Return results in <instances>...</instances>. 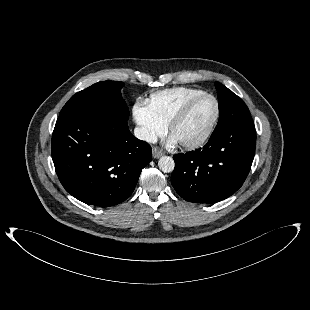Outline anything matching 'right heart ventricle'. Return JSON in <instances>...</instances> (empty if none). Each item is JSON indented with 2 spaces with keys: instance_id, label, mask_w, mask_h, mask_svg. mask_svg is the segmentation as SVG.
Returning <instances> with one entry per match:
<instances>
[{
  "instance_id": "1",
  "label": "right heart ventricle",
  "mask_w": 310,
  "mask_h": 310,
  "mask_svg": "<svg viewBox=\"0 0 310 310\" xmlns=\"http://www.w3.org/2000/svg\"><path fill=\"white\" fill-rule=\"evenodd\" d=\"M202 93L199 89L175 87L152 93L147 104L158 119L168 124L186 101Z\"/></svg>"
}]
</instances>
